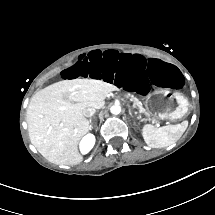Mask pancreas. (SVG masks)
Segmentation results:
<instances>
[{"label":"pancreas","mask_w":215,"mask_h":215,"mask_svg":"<svg viewBox=\"0 0 215 215\" xmlns=\"http://www.w3.org/2000/svg\"><path fill=\"white\" fill-rule=\"evenodd\" d=\"M131 100L134 102V104H136L137 108H138L139 110H141V106L138 105V102H139L138 99L135 98V97H132Z\"/></svg>","instance_id":"obj_1"}]
</instances>
